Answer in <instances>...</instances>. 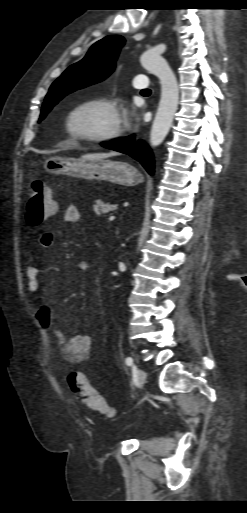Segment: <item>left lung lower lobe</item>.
I'll list each match as a JSON object with an SVG mask.
<instances>
[{
    "instance_id": "left-lung-lower-lobe-1",
    "label": "left lung lower lobe",
    "mask_w": 247,
    "mask_h": 513,
    "mask_svg": "<svg viewBox=\"0 0 247 513\" xmlns=\"http://www.w3.org/2000/svg\"><path fill=\"white\" fill-rule=\"evenodd\" d=\"M101 146L130 155L139 161L149 174L153 175L154 159L152 151L144 142H136L134 136L121 138L112 142H102Z\"/></svg>"
}]
</instances>
